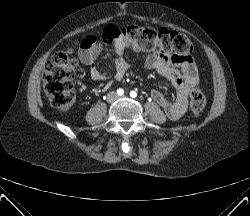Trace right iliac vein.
I'll return each mask as SVG.
<instances>
[{"mask_svg":"<svg viewBox=\"0 0 250 216\" xmlns=\"http://www.w3.org/2000/svg\"><path fill=\"white\" fill-rule=\"evenodd\" d=\"M116 99V94L115 93H110L108 95V101L113 102Z\"/></svg>","mask_w":250,"mask_h":216,"instance_id":"right-iliac-vein-1","label":"right iliac vein"}]
</instances>
